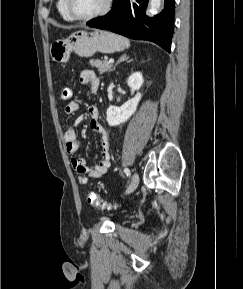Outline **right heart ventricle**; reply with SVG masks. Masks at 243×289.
I'll list each match as a JSON object with an SVG mask.
<instances>
[{
	"instance_id": "right-heart-ventricle-1",
	"label": "right heart ventricle",
	"mask_w": 243,
	"mask_h": 289,
	"mask_svg": "<svg viewBox=\"0 0 243 289\" xmlns=\"http://www.w3.org/2000/svg\"><path fill=\"white\" fill-rule=\"evenodd\" d=\"M57 10L60 14V16L65 20V21H73V19L69 16L67 10H66V0H58L57 1Z\"/></svg>"
}]
</instances>
